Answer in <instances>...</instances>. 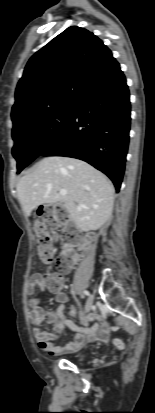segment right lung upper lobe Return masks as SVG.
Instances as JSON below:
<instances>
[{
    "instance_id": "obj_1",
    "label": "right lung upper lobe",
    "mask_w": 155,
    "mask_h": 413,
    "mask_svg": "<svg viewBox=\"0 0 155 413\" xmlns=\"http://www.w3.org/2000/svg\"><path fill=\"white\" fill-rule=\"evenodd\" d=\"M120 68L92 32L67 28L28 61L15 92L13 128L56 107L76 103Z\"/></svg>"
}]
</instances>
